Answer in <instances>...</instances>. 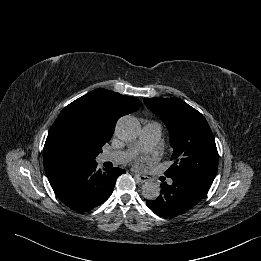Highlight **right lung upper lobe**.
Segmentation results:
<instances>
[{"label": "right lung upper lobe", "instance_id": "cb5924a9", "mask_svg": "<svg viewBox=\"0 0 261 261\" xmlns=\"http://www.w3.org/2000/svg\"><path fill=\"white\" fill-rule=\"evenodd\" d=\"M141 106L138 99L107 89L93 90L67 105L50 128L44 145L47 177L67 168L94 162L87 155H70L63 151L62 142L71 123L86 120L110 140L117 120Z\"/></svg>", "mask_w": 261, "mask_h": 261}]
</instances>
